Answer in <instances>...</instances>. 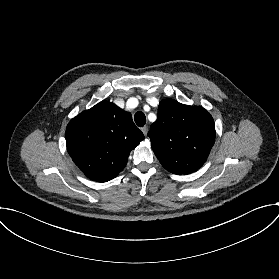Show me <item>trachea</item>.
<instances>
[{
	"label": "trachea",
	"instance_id": "1",
	"mask_svg": "<svg viewBox=\"0 0 279 279\" xmlns=\"http://www.w3.org/2000/svg\"><path fill=\"white\" fill-rule=\"evenodd\" d=\"M135 122L139 127H143L146 123V116L143 112H137L134 116Z\"/></svg>",
	"mask_w": 279,
	"mask_h": 279
}]
</instances>
